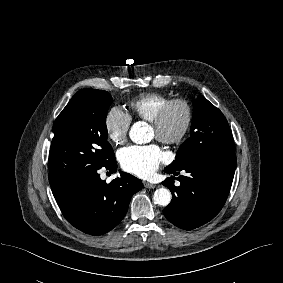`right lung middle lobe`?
Segmentation results:
<instances>
[{
	"mask_svg": "<svg viewBox=\"0 0 283 283\" xmlns=\"http://www.w3.org/2000/svg\"><path fill=\"white\" fill-rule=\"evenodd\" d=\"M111 103L108 92L83 89L59 114L49 155L50 186L100 169L115 157L107 142L106 115Z\"/></svg>",
	"mask_w": 283,
	"mask_h": 283,
	"instance_id": "obj_1",
	"label": "right lung middle lobe"
}]
</instances>
